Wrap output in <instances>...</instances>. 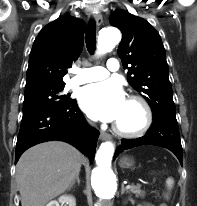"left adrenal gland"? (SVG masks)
I'll return each instance as SVG.
<instances>
[{"label":"left adrenal gland","instance_id":"obj_1","mask_svg":"<svg viewBox=\"0 0 197 206\" xmlns=\"http://www.w3.org/2000/svg\"><path fill=\"white\" fill-rule=\"evenodd\" d=\"M125 191L128 192V190L125 189L124 184L121 185V194H123Z\"/></svg>","mask_w":197,"mask_h":206}]
</instances>
